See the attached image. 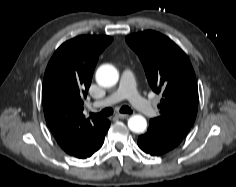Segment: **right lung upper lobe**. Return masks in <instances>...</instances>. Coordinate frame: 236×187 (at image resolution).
I'll use <instances>...</instances> for the list:
<instances>
[{
	"instance_id": "obj_1",
	"label": "right lung upper lobe",
	"mask_w": 236,
	"mask_h": 187,
	"mask_svg": "<svg viewBox=\"0 0 236 187\" xmlns=\"http://www.w3.org/2000/svg\"><path fill=\"white\" fill-rule=\"evenodd\" d=\"M110 36L84 35L63 43L50 59L43 80L45 119L60 147L77 158L90 157L103 143L107 119L83 115L92 75Z\"/></svg>"
}]
</instances>
